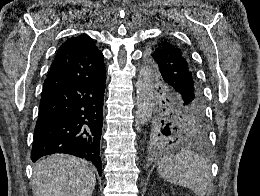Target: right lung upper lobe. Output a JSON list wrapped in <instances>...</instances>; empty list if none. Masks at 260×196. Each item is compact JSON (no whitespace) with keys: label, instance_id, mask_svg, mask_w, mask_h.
Returning <instances> with one entry per match:
<instances>
[{"label":"right lung upper lobe","instance_id":"obj_1","mask_svg":"<svg viewBox=\"0 0 260 196\" xmlns=\"http://www.w3.org/2000/svg\"><path fill=\"white\" fill-rule=\"evenodd\" d=\"M105 73L103 54L90 37L83 34L69 38L58 49L44 81L42 95Z\"/></svg>","mask_w":260,"mask_h":196}]
</instances>
